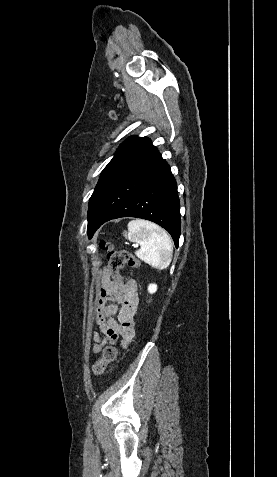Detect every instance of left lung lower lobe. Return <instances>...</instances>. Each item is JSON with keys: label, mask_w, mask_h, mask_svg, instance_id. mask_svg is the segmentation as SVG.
<instances>
[{"label": "left lung lower lobe", "mask_w": 277, "mask_h": 477, "mask_svg": "<svg viewBox=\"0 0 277 477\" xmlns=\"http://www.w3.org/2000/svg\"><path fill=\"white\" fill-rule=\"evenodd\" d=\"M137 217L157 223L178 247L180 205L177 184L169 165L149 141L109 177L88 220V236L106 221Z\"/></svg>", "instance_id": "left-lung-lower-lobe-1"}]
</instances>
